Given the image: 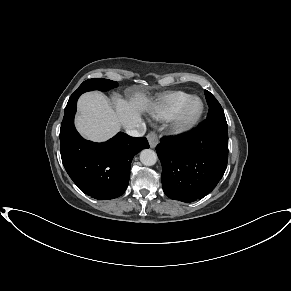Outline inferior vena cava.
<instances>
[{
	"label": "inferior vena cava",
	"mask_w": 291,
	"mask_h": 291,
	"mask_svg": "<svg viewBox=\"0 0 291 291\" xmlns=\"http://www.w3.org/2000/svg\"><path fill=\"white\" fill-rule=\"evenodd\" d=\"M145 130H146L145 123L141 122L140 124L137 125L135 129H126V132L130 136L141 137L144 135Z\"/></svg>",
	"instance_id": "602c4592"
}]
</instances>
